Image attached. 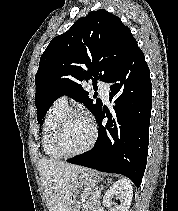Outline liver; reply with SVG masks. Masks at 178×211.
<instances>
[{"mask_svg": "<svg viewBox=\"0 0 178 211\" xmlns=\"http://www.w3.org/2000/svg\"><path fill=\"white\" fill-rule=\"evenodd\" d=\"M39 171L49 211H67L70 194L77 177L87 169L42 158L39 161Z\"/></svg>", "mask_w": 178, "mask_h": 211, "instance_id": "liver-1", "label": "liver"}]
</instances>
